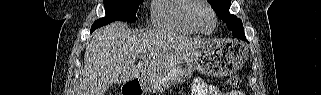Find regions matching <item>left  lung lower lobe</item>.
<instances>
[{
    "label": "left lung lower lobe",
    "instance_id": "0a47b994",
    "mask_svg": "<svg viewBox=\"0 0 321 95\" xmlns=\"http://www.w3.org/2000/svg\"><path fill=\"white\" fill-rule=\"evenodd\" d=\"M238 39L246 40L245 34H241V35H239V36H238Z\"/></svg>",
    "mask_w": 321,
    "mask_h": 95
}]
</instances>
